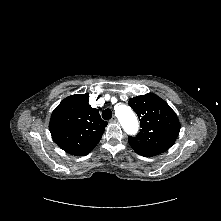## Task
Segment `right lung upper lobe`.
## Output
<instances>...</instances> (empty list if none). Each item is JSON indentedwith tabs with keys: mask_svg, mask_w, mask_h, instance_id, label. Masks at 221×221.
Here are the masks:
<instances>
[{
	"mask_svg": "<svg viewBox=\"0 0 221 221\" xmlns=\"http://www.w3.org/2000/svg\"><path fill=\"white\" fill-rule=\"evenodd\" d=\"M103 121L89 105V94H75L65 98L53 111L49 129L56 144L71 155H87L104 133Z\"/></svg>",
	"mask_w": 221,
	"mask_h": 221,
	"instance_id": "obj_1",
	"label": "right lung upper lobe"
}]
</instances>
